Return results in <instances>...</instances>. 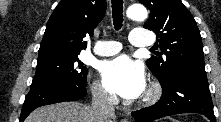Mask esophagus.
<instances>
[{
	"mask_svg": "<svg viewBox=\"0 0 221 122\" xmlns=\"http://www.w3.org/2000/svg\"><path fill=\"white\" fill-rule=\"evenodd\" d=\"M122 122H129L127 119H123Z\"/></svg>",
	"mask_w": 221,
	"mask_h": 122,
	"instance_id": "obj_1",
	"label": "esophagus"
}]
</instances>
